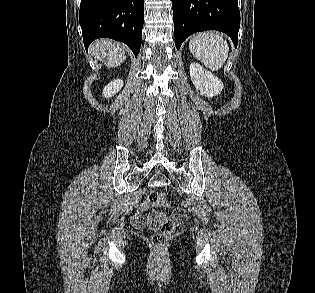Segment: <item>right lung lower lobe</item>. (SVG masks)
<instances>
[{"instance_id": "1", "label": "right lung lower lobe", "mask_w": 315, "mask_h": 293, "mask_svg": "<svg viewBox=\"0 0 315 293\" xmlns=\"http://www.w3.org/2000/svg\"><path fill=\"white\" fill-rule=\"evenodd\" d=\"M144 0H81L79 20L84 46L107 37L125 43L138 55L144 21Z\"/></svg>"}]
</instances>
